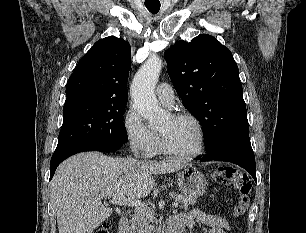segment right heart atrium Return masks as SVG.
<instances>
[{"instance_id": "obj_1", "label": "right heart atrium", "mask_w": 306, "mask_h": 233, "mask_svg": "<svg viewBox=\"0 0 306 233\" xmlns=\"http://www.w3.org/2000/svg\"><path fill=\"white\" fill-rule=\"evenodd\" d=\"M126 139L131 149L143 156H152L158 149L159 136L151 130L142 115L135 109L130 108L123 121Z\"/></svg>"}]
</instances>
